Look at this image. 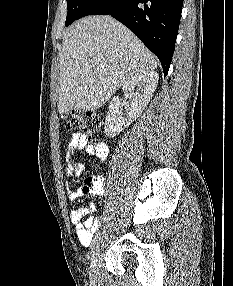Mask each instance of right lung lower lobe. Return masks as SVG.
<instances>
[{
  "label": "right lung lower lobe",
  "instance_id": "obj_1",
  "mask_svg": "<svg viewBox=\"0 0 233 286\" xmlns=\"http://www.w3.org/2000/svg\"><path fill=\"white\" fill-rule=\"evenodd\" d=\"M183 0H95L80 16L111 15L160 60L164 76L175 49Z\"/></svg>",
  "mask_w": 233,
  "mask_h": 286
}]
</instances>
